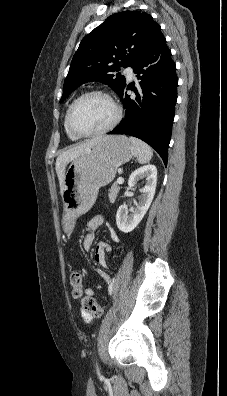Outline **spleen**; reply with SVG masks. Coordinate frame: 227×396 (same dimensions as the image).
Segmentation results:
<instances>
[{
	"label": "spleen",
	"instance_id": "3e777b00",
	"mask_svg": "<svg viewBox=\"0 0 227 396\" xmlns=\"http://www.w3.org/2000/svg\"><path fill=\"white\" fill-rule=\"evenodd\" d=\"M130 142L133 145L134 148V154L140 164L147 163L151 160L153 156L152 149L150 146H148L145 142L134 138L130 137Z\"/></svg>",
	"mask_w": 227,
	"mask_h": 396
}]
</instances>
